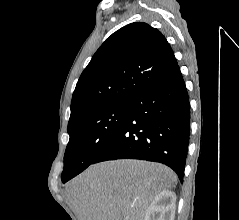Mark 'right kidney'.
<instances>
[{
    "instance_id": "1",
    "label": "right kidney",
    "mask_w": 239,
    "mask_h": 220,
    "mask_svg": "<svg viewBox=\"0 0 239 220\" xmlns=\"http://www.w3.org/2000/svg\"><path fill=\"white\" fill-rule=\"evenodd\" d=\"M176 195L164 190L157 194L147 209L144 220H174Z\"/></svg>"
}]
</instances>
